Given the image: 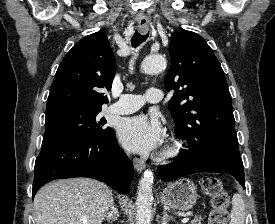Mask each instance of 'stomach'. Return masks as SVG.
<instances>
[{
	"label": "stomach",
	"instance_id": "stomach-1",
	"mask_svg": "<svg viewBox=\"0 0 275 224\" xmlns=\"http://www.w3.org/2000/svg\"><path fill=\"white\" fill-rule=\"evenodd\" d=\"M197 187L188 178L168 184L160 193L161 202L172 209L190 210L198 199Z\"/></svg>",
	"mask_w": 275,
	"mask_h": 224
}]
</instances>
